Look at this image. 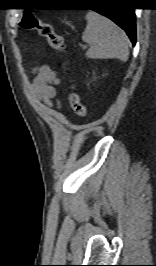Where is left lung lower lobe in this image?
<instances>
[{
  "label": "left lung lower lobe",
  "instance_id": "obj_1",
  "mask_svg": "<svg viewBox=\"0 0 156 266\" xmlns=\"http://www.w3.org/2000/svg\"><path fill=\"white\" fill-rule=\"evenodd\" d=\"M112 0H90L89 4L94 6L90 9L108 17L126 31L133 45L136 43L135 12L134 8L126 6V3L119 0L120 4H110ZM114 2V1H113Z\"/></svg>",
  "mask_w": 156,
  "mask_h": 266
}]
</instances>
